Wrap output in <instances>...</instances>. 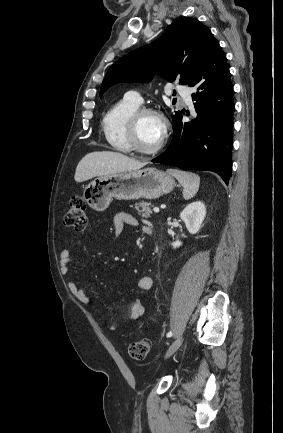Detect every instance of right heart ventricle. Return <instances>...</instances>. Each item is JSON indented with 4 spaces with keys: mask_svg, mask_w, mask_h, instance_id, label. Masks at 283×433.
Listing matches in <instances>:
<instances>
[{
    "mask_svg": "<svg viewBox=\"0 0 283 433\" xmlns=\"http://www.w3.org/2000/svg\"><path fill=\"white\" fill-rule=\"evenodd\" d=\"M138 108L139 105L124 98L110 108L102 118L103 134L107 142L119 152L131 151L126 139V126L130 115Z\"/></svg>",
    "mask_w": 283,
    "mask_h": 433,
    "instance_id": "right-heart-ventricle-1",
    "label": "right heart ventricle"
}]
</instances>
